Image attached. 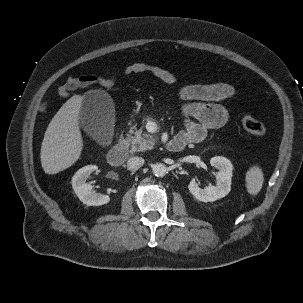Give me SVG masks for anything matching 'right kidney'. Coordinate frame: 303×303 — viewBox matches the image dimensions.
<instances>
[{
    "label": "right kidney",
    "instance_id": "obj_1",
    "mask_svg": "<svg viewBox=\"0 0 303 303\" xmlns=\"http://www.w3.org/2000/svg\"><path fill=\"white\" fill-rule=\"evenodd\" d=\"M96 165H87L79 169L72 177V187L81 202L88 206H100L107 204L110 201L108 195H102L92 190V185L86 183L89 175L97 170Z\"/></svg>",
    "mask_w": 303,
    "mask_h": 303
}]
</instances>
